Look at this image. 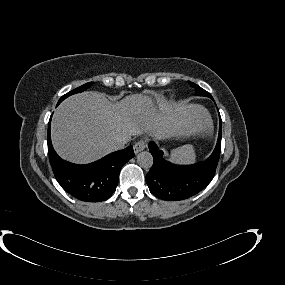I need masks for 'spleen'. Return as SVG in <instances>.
<instances>
[{"label": "spleen", "instance_id": "3e777b00", "mask_svg": "<svg viewBox=\"0 0 285 285\" xmlns=\"http://www.w3.org/2000/svg\"><path fill=\"white\" fill-rule=\"evenodd\" d=\"M201 120L203 123L207 122L206 113H202ZM170 160L177 164H194L196 162V152L192 145H184L180 148L174 149L170 154Z\"/></svg>", "mask_w": 285, "mask_h": 285}]
</instances>
